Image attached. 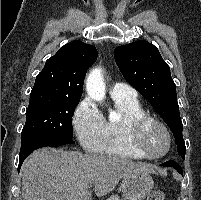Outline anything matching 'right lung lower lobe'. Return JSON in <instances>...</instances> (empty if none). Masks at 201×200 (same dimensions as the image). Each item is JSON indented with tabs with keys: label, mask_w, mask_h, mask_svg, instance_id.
<instances>
[{
	"label": "right lung lower lobe",
	"mask_w": 201,
	"mask_h": 200,
	"mask_svg": "<svg viewBox=\"0 0 201 200\" xmlns=\"http://www.w3.org/2000/svg\"><path fill=\"white\" fill-rule=\"evenodd\" d=\"M74 143L72 139L59 136L49 135L45 133H31L21 136V149L19 155L18 172L26 157L34 150L41 147H57L60 145Z\"/></svg>",
	"instance_id": "right-lung-lower-lobe-1"
}]
</instances>
